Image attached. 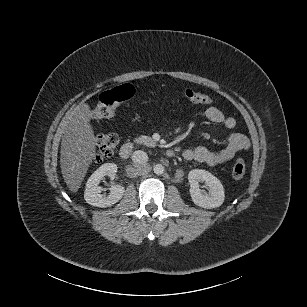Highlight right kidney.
Wrapping results in <instances>:
<instances>
[{
    "instance_id": "1",
    "label": "right kidney",
    "mask_w": 307,
    "mask_h": 307,
    "mask_svg": "<svg viewBox=\"0 0 307 307\" xmlns=\"http://www.w3.org/2000/svg\"><path fill=\"white\" fill-rule=\"evenodd\" d=\"M116 172V164L105 163L90 176L84 193V199L88 204L102 208L109 207L123 197L125 189L121 185H112L109 195L101 194L103 188L98 186L104 176H109L111 179H114Z\"/></svg>"
}]
</instances>
